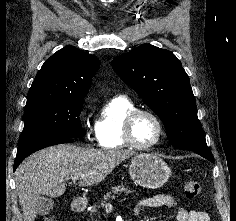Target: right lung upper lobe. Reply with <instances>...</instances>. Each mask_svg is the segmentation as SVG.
Wrapping results in <instances>:
<instances>
[{"label":"right lung upper lobe","mask_w":236,"mask_h":221,"mask_svg":"<svg viewBox=\"0 0 236 221\" xmlns=\"http://www.w3.org/2000/svg\"><path fill=\"white\" fill-rule=\"evenodd\" d=\"M98 68L97 57L67 45L42 65L28 96L85 97Z\"/></svg>","instance_id":"1"}]
</instances>
